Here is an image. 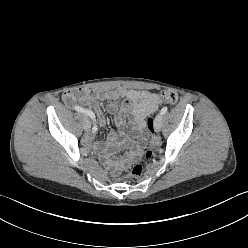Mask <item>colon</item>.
I'll list each match as a JSON object with an SVG mask.
<instances>
[{
    "label": "colon",
    "mask_w": 248,
    "mask_h": 248,
    "mask_svg": "<svg viewBox=\"0 0 248 248\" xmlns=\"http://www.w3.org/2000/svg\"><path fill=\"white\" fill-rule=\"evenodd\" d=\"M159 99L162 100L165 103L169 104H175L178 101V95L175 91L166 89L159 93L158 95ZM146 127L147 129L152 133L150 144L147 150L145 151V156L147 158H150L152 156V149L157 145L158 138L155 135V127H154V121L153 119L149 118L146 121ZM142 174V166L139 164H136L132 167L130 170L129 175L132 177H139ZM112 179H117L118 176L115 174H111Z\"/></svg>",
    "instance_id": "obj_1"
}]
</instances>
